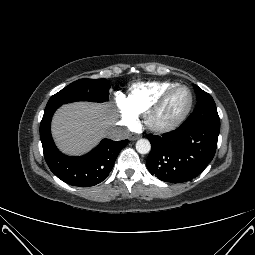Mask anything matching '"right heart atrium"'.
Listing matches in <instances>:
<instances>
[{
    "label": "right heart atrium",
    "mask_w": 255,
    "mask_h": 255,
    "mask_svg": "<svg viewBox=\"0 0 255 255\" xmlns=\"http://www.w3.org/2000/svg\"><path fill=\"white\" fill-rule=\"evenodd\" d=\"M118 106L120 109L123 123L127 126H133L136 124L135 113L125 104L123 100H119Z\"/></svg>",
    "instance_id": "right-heart-atrium-1"
}]
</instances>
